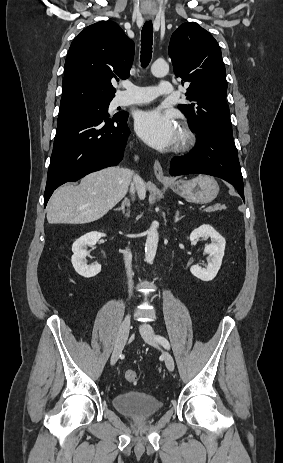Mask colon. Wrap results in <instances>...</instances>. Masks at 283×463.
<instances>
[{"instance_id": "obj_1", "label": "colon", "mask_w": 283, "mask_h": 463, "mask_svg": "<svg viewBox=\"0 0 283 463\" xmlns=\"http://www.w3.org/2000/svg\"><path fill=\"white\" fill-rule=\"evenodd\" d=\"M125 379L129 383H137L139 380V375L136 371L134 370H128L124 374Z\"/></svg>"}]
</instances>
